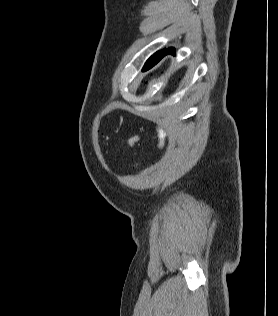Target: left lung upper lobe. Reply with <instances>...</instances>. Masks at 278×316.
<instances>
[{
    "mask_svg": "<svg viewBox=\"0 0 278 316\" xmlns=\"http://www.w3.org/2000/svg\"><path fill=\"white\" fill-rule=\"evenodd\" d=\"M165 49H161L154 53L145 63L143 67V71H146L150 68H152L155 64H157L160 61L161 54Z\"/></svg>",
    "mask_w": 278,
    "mask_h": 316,
    "instance_id": "obj_1",
    "label": "left lung upper lobe"
}]
</instances>
